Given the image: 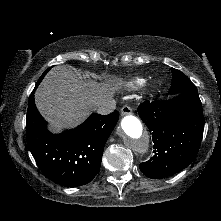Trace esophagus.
<instances>
[{
	"label": "esophagus",
	"instance_id": "1",
	"mask_svg": "<svg viewBox=\"0 0 221 221\" xmlns=\"http://www.w3.org/2000/svg\"><path fill=\"white\" fill-rule=\"evenodd\" d=\"M130 114H132V109L127 105L123 106L121 109V115L125 116V115H130Z\"/></svg>",
	"mask_w": 221,
	"mask_h": 221
}]
</instances>
